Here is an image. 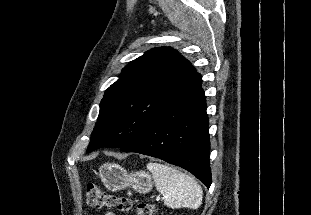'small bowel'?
<instances>
[{"mask_svg":"<svg viewBox=\"0 0 311 215\" xmlns=\"http://www.w3.org/2000/svg\"><path fill=\"white\" fill-rule=\"evenodd\" d=\"M104 215H116V214L114 212H112V211H108Z\"/></svg>","mask_w":311,"mask_h":215,"instance_id":"obj_1","label":"small bowel"}]
</instances>
